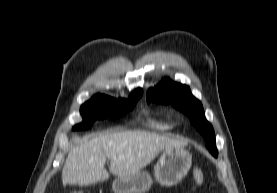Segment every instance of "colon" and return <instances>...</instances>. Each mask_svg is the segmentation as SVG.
I'll return each instance as SVG.
<instances>
[{
  "instance_id": "colon-1",
  "label": "colon",
  "mask_w": 277,
  "mask_h": 193,
  "mask_svg": "<svg viewBox=\"0 0 277 193\" xmlns=\"http://www.w3.org/2000/svg\"><path fill=\"white\" fill-rule=\"evenodd\" d=\"M193 180L196 184L200 185L203 182V172L200 169H194L192 172ZM72 193H83L82 191H74Z\"/></svg>"
}]
</instances>
